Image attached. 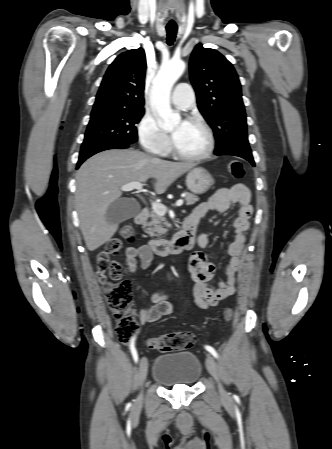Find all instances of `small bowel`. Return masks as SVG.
Segmentation results:
<instances>
[{
	"mask_svg": "<svg viewBox=\"0 0 332 449\" xmlns=\"http://www.w3.org/2000/svg\"><path fill=\"white\" fill-rule=\"evenodd\" d=\"M231 204H237L239 210L238 217L234 222V240L229 247L231 259L226 267V279L217 286L211 285L210 281L214 276L215 266L202 251L195 252L189 261V269L194 282L192 289L193 300L196 306L202 309L216 305L235 291L236 275L243 264L242 252L249 229V219L253 211L250 204V191L243 184L219 189L208 201L197 205L189 216L196 228L207 213L211 211L224 213ZM194 243L202 249L206 248L208 245L207 235L199 234L195 236ZM153 259V253L146 245L126 248V264L131 273L136 271L138 264L144 270L149 269ZM150 299L153 305L145 307L140 311L141 324L157 321L172 312V305L163 293L154 292Z\"/></svg>",
	"mask_w": 332,
	"mask_h": 449,
	"instance_id": "1",
	"label": "small bowel"
}]
</instances>
